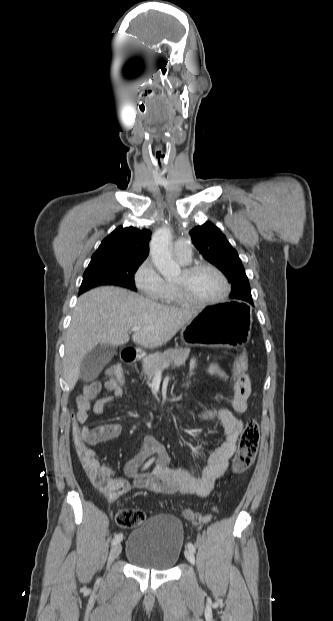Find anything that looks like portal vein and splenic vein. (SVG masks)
Instances as JSON below:
<instances>
[{
    "instance_id": "1",
    "label": "portal vein and splenic vein",
    "mask_w": 333,
    "mask_h": 621,
    "mask_svg": "<svg viewBox=\"0 0 333 621\" xmlns=\"http://www.w3.org/2000/svg\"><path fill=\"white\" fill-rule=\"evenodd\" d=\"M131 330H132V331H140V330H142V329H141V327L134 326V327H132V328H131ZM144 330H145V329H144ZM158 373H160V372H158Z\"/></svg>"
}]
</instances>
